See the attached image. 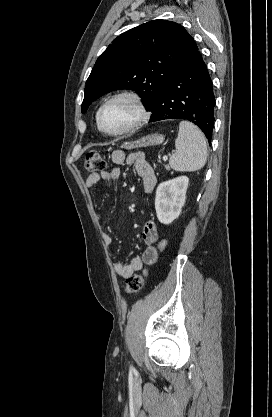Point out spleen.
Here are the masks:
<instances>
[{
    "label": "spleen",
    "instance_id": "spleen-1",
    "mask_svg": "<svg viewBox=\"0 0 272 417\" xmlns=\"http://www.w3.org/2000/svg\"><path fill=\"white\" fill-rule=\"evenodd\" d=\"M175 147L176 151L169 159L173 170L192 172L204 167L207 160L206 139L194 124L180 122Z\"/></svg>",
    "mask_w": 272,
    "mask_h": 417
}]
</instances>
